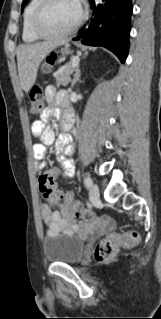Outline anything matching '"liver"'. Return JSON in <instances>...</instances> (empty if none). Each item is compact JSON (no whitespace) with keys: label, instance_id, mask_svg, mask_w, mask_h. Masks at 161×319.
<instances>
[{"label":"liver","instance_id":"obj_1","mask_svg":"<svg viewBox=\"0 0 161 319\" xmlns=\"http://www.w3.org/2000/svg\"><path fill=\"white\" fill-rule=\"evenodd\" d=\"M57 44L55 41H44L18 47L17 65L20 84L24 92L27 93L31 89L35 83L40 63Z\"/></svg>","mask_w":161,"mask_h":319}]
</instances>
